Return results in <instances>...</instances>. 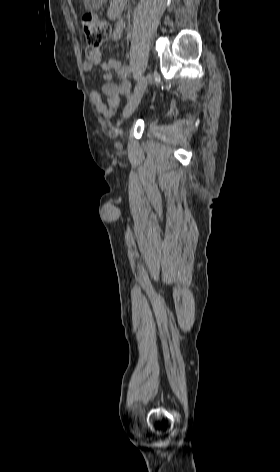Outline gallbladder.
Returning <instances> with one entry per match:
<instances>
[{
	"mask_svg": "<svg viewBox=\"0 0 280 472\" xmlns=\"http://www.w3.org/2000/svg\"><path fill=\"white\" fill-rule=\"evenodd\" d=\"M85 9L89 11H98L106 0H83Z\"/></svg>",
	"mask_w": 280,
	"mask_h": 472,
	"instance_id": "1",
	"label": "gallbladder"
}]
</instances>
